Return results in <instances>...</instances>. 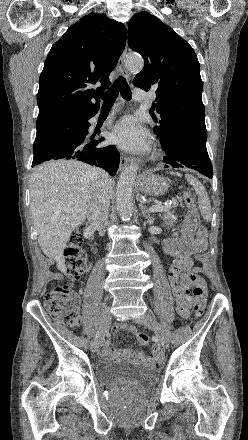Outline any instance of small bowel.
Masks as SVG:
<instances>
[{
  "label": "small bowel",
  "mask_w": 248,
  "mask_h": 440,
  "mask_svg": "<svg viewBox=\"0 0 248 440\" xmlns=\"http://www.w3.org/2000/svg\"><path fill=\"white\" fill-rule=\"evenodd\" d=\"M196 240H202L205 248L206 231L202 227H198L188 219L182 224L178 233L171 239L164 242V249L167 253L173 255L175 258L169 266L168 278L172 292L175 296L177 314L181 319L186 320L189 317V308L191 305V298L189 289L192 285V276L200 272L199 267H193V260L191 255L198 253L193 247ZM198 261L203 260L201 254H196ZM128 331L136 333V327L127 326L123 323H118L114 327V332ZM129 353L117 351L112 344L107 341L104 345L102 356L106 359L122 358ZM137 360L151 364L155 367L160 365V358L158 355L154 357H147L143 353H135L133 355Z\"/></svg>",
  "instance_id": "1"
}]
</instances>
